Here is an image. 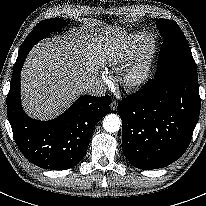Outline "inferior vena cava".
<instances>
[{
  "label": "inferior vena cava",
  "instance_id": "602c4592",
  "mask_svg": "<svg viewBox=\"0 0 206 206\" xmlns=\"http://www.w3.org/2000/svg\"><path fill=\"white\" fill-rule=\"evenodd\" d=\"M106 91H107V86L105 82L101 80L94 81L86 89V92L89 95L98 96V97L105 95Z\"/></svg>",
  "mask_w": 206,
  "mask_h": 206
}]
</instances>
